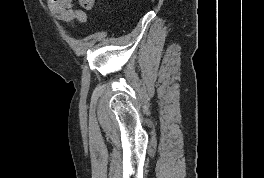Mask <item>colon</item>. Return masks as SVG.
<instances>
[{"label":"colon","instance_id":"colon-1","mask_svg":"<svg viewBox=\"0 0 264 178\" xmlns=\"http://www.w3.org/2000/svg\"><path fill=\"white\" fill-rule=\"evenodd\" d=\"M80 3L84 8H89L94 3V0H80Z\"/></svg>","mask_w":264,"mask_h":178}]
</instances>
